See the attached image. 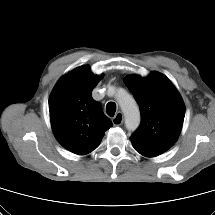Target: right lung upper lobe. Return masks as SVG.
Returning a JSON list of instances; mask_svg holds the SVG:
<instances>
[{
    "label": "right lung upper lobe",
    "instance_id": "1",
    "mask_svg": "<svg viewBox=\"0 0 215 215\" xmlns=\"http://www.w3.org/2000/svg\"><path fill=\"white\" fill-rule=\"evenodd\" d=\"M98 82L99 77L88 66H80L57 82L49 98L55 137L77 155H86L97 148L105 131L113 125L91 96Z\"/></svg>",
    "mask_w": 215,
    "mask_h": 215
}]
</instances>
